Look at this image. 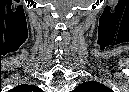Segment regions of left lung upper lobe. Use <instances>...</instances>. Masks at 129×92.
I'll return each instance as SVG.
<instances>
[{"label":"left lung upper lobe","instance_id":"1","mask_svg":"<svg viewBox=\"0 0 129 92\" xmlns=\"http://www.w3.org/2000/svg\"><path fill=\"white\" fill-rule=\"evenodd\" d=\"M76 92H111V90L96 81L84 82L75 89Z\"/></svg>","mask_w":129,"mask_h":92}]
</instances>
